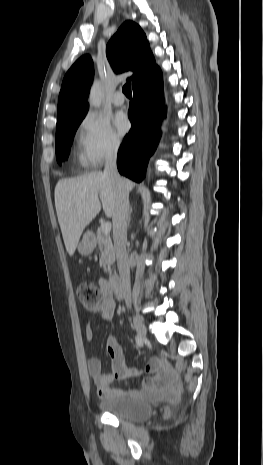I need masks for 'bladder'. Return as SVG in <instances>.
Returning <instances> with one entry per match:
<instances>
[{
  "label": "bladder",
  "mask_w": 263,
  "mask_h": 465,
  "mask_svg": "<svg viewBox=\"0 0 263 465\" xmlns=\"http://www.w3.org/2000/svg\"><path fill=\"white\" fill-rule=\"evenodd\" d=\"M98 406L107 414L131 422H142L153 415V407L150 403L132 395L104 398Z\"/></svg>",
  "instance_id": "31cf9c89"
}]
</instances>
